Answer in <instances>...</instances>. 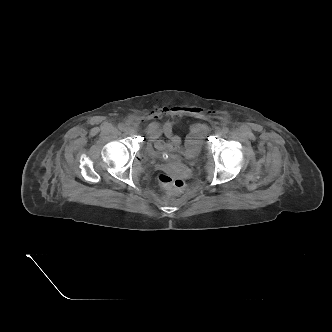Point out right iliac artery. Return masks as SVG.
<instances>
[{"instance_id": "obj_1", "label": "right iliac artery", "mask_w": 332, "mask_h": 332, "mask_svg": "<svg viewBox=\"0 0 332 332\" xmlns=\"http://www.w3.org/2000/svg\"><path fill=\"white\" fill-rule=\"evenodd\" d=\"M118 128H119L120 130H125V125H124L123 123H120V124L118 125Z\"/></svg>"}]
</instances>
